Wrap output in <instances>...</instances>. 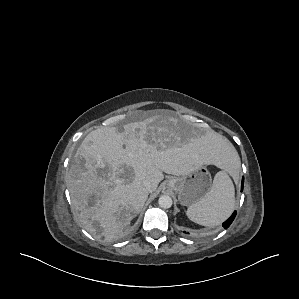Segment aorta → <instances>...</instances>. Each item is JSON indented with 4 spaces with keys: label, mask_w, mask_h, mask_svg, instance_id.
Returning a JSON list of instances; mask_svg holds the SVG:
<instances>
[{
    "label": "aorta",
    "mask_w": 299,
    "mask_h": 299,
    "mask_svg": "<svg viewBox=\"0 0 299 299\" xmlns=\"http://www.w3.org/2000/svg\"><path fill=\"white\" fill-rule=\"evenodd\" d=\"M172 198L168 195H162L159 197L158 204L161 208L168 209L172 206Z\"/></svg>",
    "instance_id": "762f6f07"
}]
</instances>
